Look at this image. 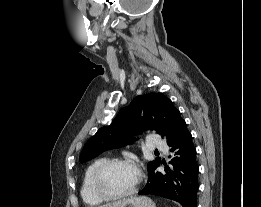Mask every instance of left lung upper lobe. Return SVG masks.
I'll return each instance as SVG.
<instances>
[{
  "label": "left lung upper lobe",
  "instance_id": "obj_1",
  "mask_svg": "<svg viewBox=\"0 0 261 207\" xmlns=\"http://www.w3.org/2000/svg\"><path fill=\"white\" fill-rule=\"evenodd\" d=\"M181 121L179 110L162 93L139 95L129 106L120 110L110 125L100 128L86 142L80 161L85 162L106 150L131 144L136 140L132 138L134 135L148 129H155L170 143ZM159 163V158L149 162L148 173Z\"/></svg>",
  "mask_w": 261,
  "mask_h": 207
}]
</instances>
